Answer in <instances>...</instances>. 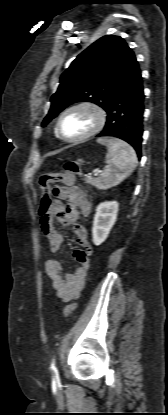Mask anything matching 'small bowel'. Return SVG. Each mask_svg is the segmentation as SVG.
Returning a JSON list of instances; mask_svg holds the SVG:
<instances>
[{
  "label": "small bowel",
  "instance_id": "1",
  "mask_svg": "<svg viewBox=\"0 0 168 415\" xmlns=\"http://www.w3.org/2000/svg\"><path fill=\"white\" fill-rule=\"evenodd\" d=\"M53 202L56 224L72 225L79 248L74 251V257L79 263L75 273L65 272L58 259H49L45 264L46 273L52 281V287L57 296L65 302L78 298L84 287L87 273L91 266L93 246L89 241L87 229L76 223L79 212L83 216L91 213L92 205L85 192L77 186H57L53 188ZM62 201H66L65 205ZM41 228L49 240L50 251L57 253L62 245L63 237L55 229L53 222L45 226L40 220Z\"/></svg>",
  "mask_w": 168,
  "mask_h": 415
}]
</instances>
